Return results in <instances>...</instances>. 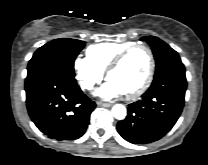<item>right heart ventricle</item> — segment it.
<instances>
[{
  "mask_svg": "<svg viewBox=\"0 0 208 165\" xmlns=\"http://www.w3.org/2000/svg\"><path fill=\"white\" fill-rule=\"evenodd\" d=\"M132 44L134 43L122 41L100 42L90 45L86 49V56L99 70L103 72L121 50Z\"/></svg>",
  "mask_w": 208,
  "mask_h": 165,
  "instance_id": "right-heart-ventricle-1",
  "label": "right heart ventricle"
}]
</instances>
